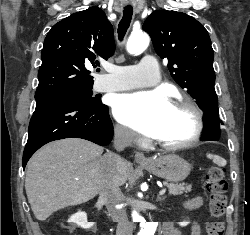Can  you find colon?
I'll use <instances>...</instances> for the list:
<instances>
[{
    "mask_svg": "<svg viewBox=\"0 0 250 235\" xmlns=\"http://www.w3.org/2000/svg\"><path fill=\"white\" fill-rule=\"evenodd\" d=\"M206 191L209 195V212L211 220L206 223L207 235H223L224 224L221 217L226 208L228 183L222 167L212 166L206 175Z\"/></svg>",
    "mask_w": 250,
    "mask_h": 235,
    "instance_id": "1",
    "label": "colon"
}]
</instances>
